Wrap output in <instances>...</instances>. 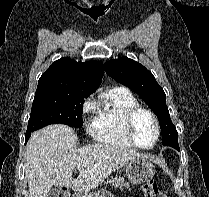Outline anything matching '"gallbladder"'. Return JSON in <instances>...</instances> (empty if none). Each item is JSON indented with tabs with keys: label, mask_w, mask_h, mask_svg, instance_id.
<instances>
[{
	"label": "gallbladder",
	"mask_w": 209,
	"mask_h": 197,
	"mask_svg": "<svg viewBox=\"0 0 209 197\" xmlns=\"http://www.w3.org/2000/svg\"><path fill=\"white\" fill-rule=\"evenodd\" d=\"M59 195V189L56 187H53L49 190L46 197H58Z\"/></svg>",
	"instance_id": "gallbladder-1"
}]
</instances>
